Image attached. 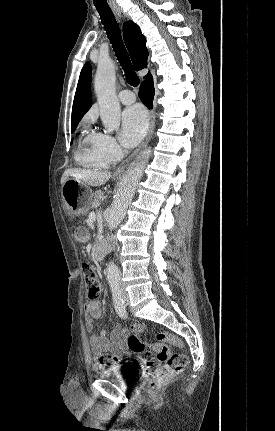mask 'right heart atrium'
Instances as JSON below:
<instances>
[{
	"label": "right heart atrium",
	"instance_id": "obj_1",
	"mask_svg": "<svg viewBox=\"0 0 275 431\" xmlns=\"http://www.w3.org/2000/svg\"><path fill=\"white\" fill-rule=\"evenodd\" d=\"M95 146L98 153L110 162L118 160L123 153L117 140L107 133H97Z\"/></svg>",
	"mask_w": 275,
	"mask_h": 431
}]
</instances>
